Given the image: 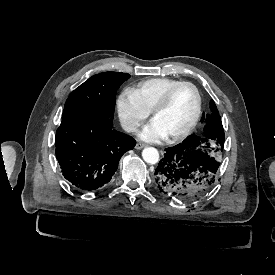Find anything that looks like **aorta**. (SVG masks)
Instances as JSON below:
<instances>
[{"label":"aorta","mask_w":275,"mask_h":275,"mask_svg":"<svg viewBox=\"0 0 275 275\" xmlns=\"http://www.w3.org/2000/svg\"><path fill=\"white\" fill-rule=\"evenodd\" d=\"M142 157L149 164H156L159 161V152L154 147H146L142 151Z\"/></svg>","instance_id":"762f6f07"}]
</instances>
